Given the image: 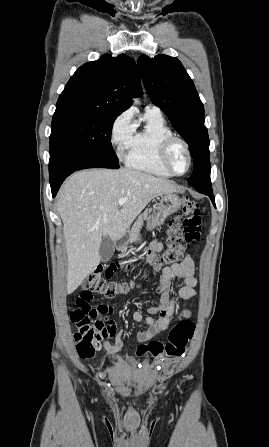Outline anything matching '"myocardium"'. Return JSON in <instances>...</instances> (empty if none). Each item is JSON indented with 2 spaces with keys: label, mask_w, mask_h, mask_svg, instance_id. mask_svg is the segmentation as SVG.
<instances>
[{
  "label": "myocardium",
  "mask_w": 269,
  "mask_h": 447,
  "mask_svg": "<svg viewBox=\"0 0 269 447\" xmlns=\"http://www.w3.org/2000/svg\"><path fill=\"white\" fill-rule=\"evenodd\" d=\"M177 144H180L185 149L187 156H188V166H187V169L183 172L176 171L172 165V162H171V153H172L174 146ZM160 159H161V162L163 163V165L173 175H177V176L186 174L189 171L191 164H192V155H191V150H190L188 143L185 140H183L182 138H179L175 135H172V136L166 138L162 142Z\"/></svg>",
  "instance_id": "myocardium-1"
}]
</instances>
